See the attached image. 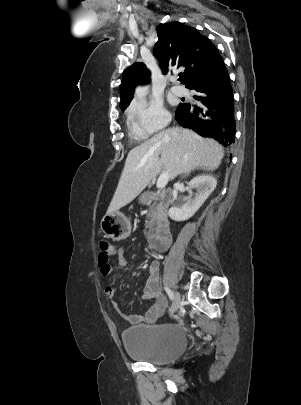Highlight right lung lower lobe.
<instances>
[{
    "instance_id": "98d812e1",
    "label": "right lung lower lobe",
    "mask_w": 301,
    "mask_h": 405,
    "mask_svg": "<svg viewBox=\"0 0 301 405\" xmlns=\"http://www.w3.org/2000/svg\"><path fill=\"white\" fill-rule=\"evenodd\" d=\"M188 88L199 93L194 98L203 106L180 105L175 113L177 122L201 136L216 139L225 147L231 146L236 133L234 97L224 62L212 76Z\"/></svg>"
}]
</instances>
